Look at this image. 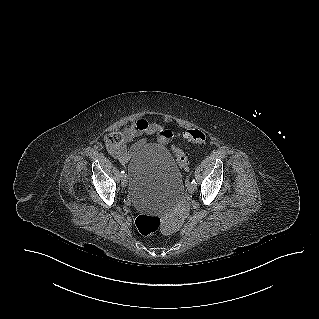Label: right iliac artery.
<instances>
[{
  "instance_id": "obj_1",
  "label": "right iliac artery",
  "mask_w": 319,
  "mask_h": 319,
  "mask_svg": "<svg viewBox=\"0 0 319 319\" xmlns=\"http://www.w3.org/2000/svg\"><path fill=\"white\" fill-rule=\"evenodd\" d=\"M124 173H125V171H124V170H122V171H121V177L124 175Z\"/></svg>"
}]
</instances>
